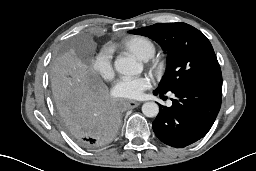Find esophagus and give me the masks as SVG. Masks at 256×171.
<instances>
[{"instance_id": "1", "label": "esophagus", "mask_w": 256, "mask_h": 171, "mask_svg": "<svg viewBox=\"0 0 256 171\" xmlns=\"http://www.w3.org/2000/svg\"><path fill=\"white\" fill-rule=\"evenodd\" d=\"M139 105H140V102H138V101L130 100L127 102V106L130 109H134V108L138 107Z\"/></svg>"}]
</instances>
